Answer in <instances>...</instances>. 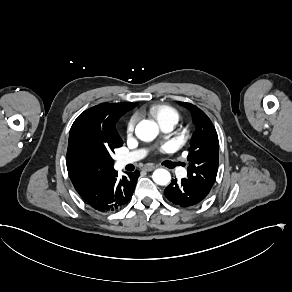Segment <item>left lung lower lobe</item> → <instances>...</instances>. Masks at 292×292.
Here are the masks:
<instances>
[{
  "label": "left lung lower lobe",
  "mask_w": 292,
  "mask_h": 292,
  "mask_svg": "<svg viewBox=\"0 0 292 292\" xmlns=\"http://www.w3.org/2000/svg\"><path fill=\"white\" fill-rule=\"evenodd\" d=\"M209 192V189L195 185L184 178L181 182L173 179L165 188L164 195L173 204L186 208L199 204Z\"/></svg>",
  "instance_id": "left-lung-lower-lobe-1"
}]
</instances>
